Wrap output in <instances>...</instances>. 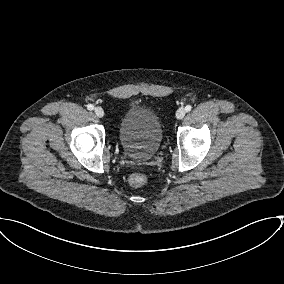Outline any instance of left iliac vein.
I'll use <instances>...</instances> for the list:
<instances>
[{"mask_svg": "<svg viewBox=\"0 0 284 284\" xmlns=\"http://www.w3.org/2000/svg\"><path fill=\"white\" fill-rule=\"evenodd\" d=\"M186 114V110L184 108H179L176 112V118L182 119Z\"/></svg>", "mask_w": 284, "mask_h": 284, "instance_id": "1", "label": "left iliac vein"}]
</instances>
